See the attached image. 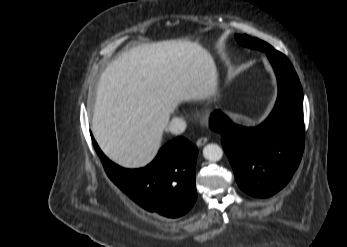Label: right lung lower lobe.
Masks as SVG:
<instances>
[{"label": "right lung lower lobe", "instance_id": "right-lung-lower-lobe-1", "mask_svg": "<svg viewBox=\"0 0 347 247\" xmlns=\"http://www.w3.org/2000/svg\"><path fill=\"white\" fill-rule=\"evenodd\" d=\"M93 143L109 178L144 209L176 218L194 205L198 150L187 139L177 137L168 142L149 165L132 170L111 162L94 139Z\"/></svg>", "mask_w": 347, "mask_h": 247}]
</instances>
